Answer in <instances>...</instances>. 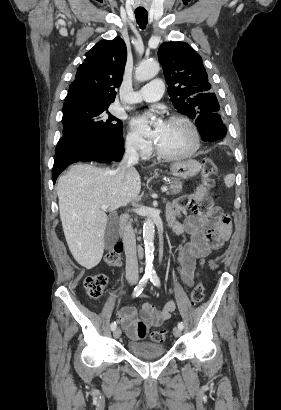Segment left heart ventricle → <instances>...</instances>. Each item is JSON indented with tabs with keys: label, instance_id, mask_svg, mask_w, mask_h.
Listing matches in <instances>:
<instances>
[{
	"label": "left heart ventricle",
	"instance_id": "1",
	"mask_svg": "<svg viewBox=\"0 0 281 410\" xmlns=\"http://www.w3.org/2000/svg\"><path fill=\"white\" fill-rule=\"evenodd\" d=\"M156 143L165 152L183 153L192 148L194 137L186 124L179 121H167Z\"/></svg>",
	"mask_w": 281,
	"mask_h": 410
}]
</instances>
